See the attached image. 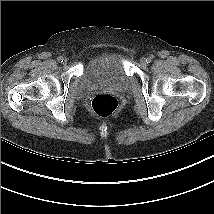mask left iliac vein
Here are the masks:
<instances>
[{
  "label": "left iliac vein",
  "mask_w": 214,
  "mask_h": 214,
  "mask_svg": "<svg viewBox=\"0 0 214 214\" xmlns=\"http://www.w3.org/2000/svg\"><path fill=\"white\" fill-rule=\"evenodd\" d=\"M140 63L142 65H147L149 63V60H148V58L142 57L141 60H140Z\"/></svg>",
  "instance_id": "left-iliac-vein-1"
}]
</instances>
